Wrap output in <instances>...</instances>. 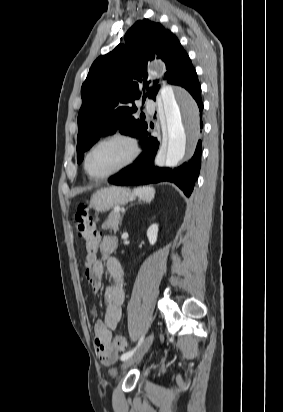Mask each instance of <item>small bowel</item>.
<instances>
[{
	"instance_id": "obj_1",
	"label": "small bowel",
	"mask_w": 283,
	"mask_h": 412,
	"mask_svg": "<svg viewBox=\"0 0 283 412\" xmlns=\"http://www.w3.org/2000/svg\"><path fill=\"white\" fill-rule=\"evenodd\" d=\"M97 240L101 258H97L94 254L87 256L85 275L94 293L99 292L102 287L105 270L113 282L105 290L106 310L104 318L97 319L93 327L94 344L98 356L104 364L109 365L116 360L118 353L112 352L106 355L104 348L108 347L112 331L118 327L122 317L124 271L119 260L112 256L117 246L116 238L97 233ZM93 314H96L95 309Z\"/></svg>"
}]
</instances>
